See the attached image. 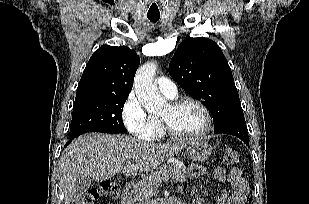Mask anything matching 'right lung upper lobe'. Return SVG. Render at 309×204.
Here are the masks:
<instances>
[{
	"instance_id": "1",
	"label": "right lung upper lobe",
	"mask_w": 309,
	"mask_h": 204,
	"mask_svg": "<svg viewBox=\"0 0 309 204\" xmlns=\"http://www.w3.org/2000/svg\"><path fill=\"white\" fill-rule=\"evenodd\" d=\"M139 63V56L128 47L101 46L86 65L75 103L97 97L129 95Z\"/></svg>"
}]
</instances>
